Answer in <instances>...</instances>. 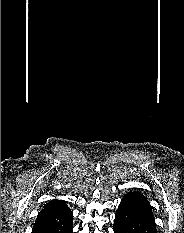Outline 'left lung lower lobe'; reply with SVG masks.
<instances>
[{
    "instance_id": "1",
    "label": "left lung lower lobe",
    "mask_w": 184,
    "mask_h": 233,
    "mask_svg": "<svg viewBox=\"0 0 184 233\" xmlns=\"http://www.w3.org/2000/svg\"><path fill=\"white\" fill-rule=\"evenodd\" d=\"M114 233H157L152 208L141 193L126 194L115 214Z\"/></svg>"
}]
</instances>
